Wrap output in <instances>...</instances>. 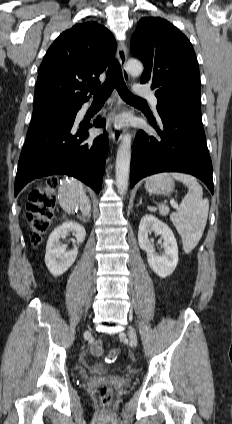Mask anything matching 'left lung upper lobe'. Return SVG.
Returning a JSON list of instances; mask_svg holds the SVG:
<instances>
[{
  "instance_id": "5c2ea615",
  "label": "left lung upper lobe",
  "mask_w": 232,
  "mask_h": 424,
  "mask_svg": "<svg viewBox=\"0 0 232 424\" xmlns=\"http://www.w3.org/2000/svg\"><path fill=\"white\" fill-rule=\"evenodd\" d=\"M132 52L141 59V83L152 80L158 101H200V75L194 49L186 36L160 17L142 18L132 36Z\"/></svg>"
}]
</instances>
